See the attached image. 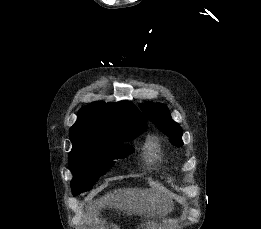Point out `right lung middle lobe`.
I'll return each instance as SVG.
<instances>
[{
  "label": "right lung middle lobe",
  "instance_id": "right-lung-middle-lobe-1",
  "mask_svg": "<svg viewBox=\"0 0 261 229\" xmlns=\"http://www.w3.org/2000/svg\"><path fill=\"white\" fill-rule=\"evenodd\" d=\"M146 125L129 124L115 129L116 135L127 142L146 130ZM133 152L127 144L102 145L82 144L73 146L69 153V167L73 173L71 181L74 196L90 190L100 176L112 167L114 159L125 158Z\"/></svg>",
  "mask_w": 261,
  "mask_h": 229
}]
</instances>
